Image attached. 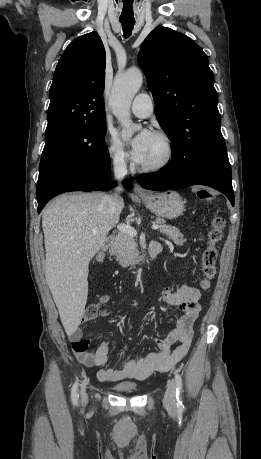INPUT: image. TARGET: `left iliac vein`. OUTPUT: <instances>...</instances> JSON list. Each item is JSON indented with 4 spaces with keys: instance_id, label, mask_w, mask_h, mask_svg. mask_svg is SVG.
<instances>
[{
    "instance_id": "4c4485c4",
    "label": "left iliac vein",
    "mask_w": 261,
    "mask_h": 459,
    "mask_svg": "<svg viewBox=\"0 0 261 459\" xmlns=\"http://www.w3.org/2000/svg\"><path fill=\"white\" fill-rule=\"evenodd\" d=\"M164 406L169 410L176 408V385L174 381H169L163 400Z\"/></svg>"
}]
</instances>
